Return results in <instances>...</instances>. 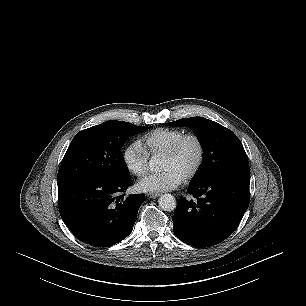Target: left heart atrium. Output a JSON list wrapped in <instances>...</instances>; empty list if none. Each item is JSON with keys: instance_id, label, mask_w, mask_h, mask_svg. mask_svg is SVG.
Masks as SVG:
<instances>
[{"instance_id": "1", "label": "left heart atrium", "mask_w": 306, "mask_h": 306, "mask_svg": "<svg viewBox=\"0 0 306 306\" xmlns=\"http://www.w3.org/2000/svg\"><path fill=\"white\" fill-rule=\"evenodd\" d=\"M184 178L172 169L150 174L142 178L137 187L144 192H161L176 188L183 182Z\"/></svg>"}]
</instances>
